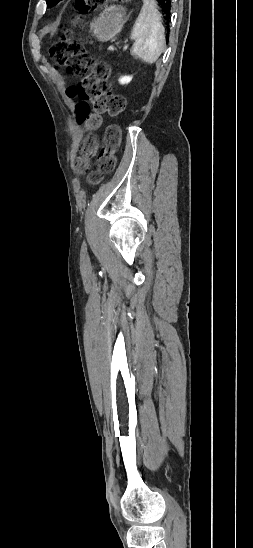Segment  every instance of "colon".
Wrapping results in <instances>:
<instances>
[{"mask_svg": "<svg viewBox=\"0 0 253 548\" xmlns=\"http://www.w3.org/2000/svg\"><path fill=\"white\" fill-rule=\"evenodd\" d=\"M104 1L76 0V4L79 9L88 11ZM49 52L58 68H63L81 78L76 86L67 91L68 96L80 100L76 105V115L80 123H84L89 128H96L100 125L102 114L117 116L124 112L126 100L124 96L112 91L109 67L103 62L95 61L82 44L62 37L51 46ZM120 143V128L117 125H110L104 133L103 147L97 158V171L88 176L91 183L99 182L104 174L114 170ZM96 148L95 138L87 137L75 163L79 173L88 172L89 158L96 152Z\"/></svg>", "mask_w": 253, "mask_h": 548, "instance_id": "5ec220e1", "label": "colon"}]
</instances>
